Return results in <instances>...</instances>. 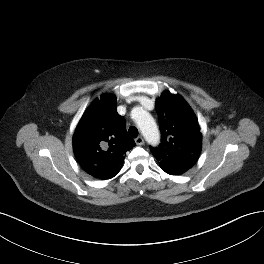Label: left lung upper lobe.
<instances>
[{"label": "left lung upper lobe", "instance_id": "left-lung-upper-lobe-1", "mask_svg": "<svg viewBox=\"0 0 264 264\" xmlns=\"http://www.w3.org/2000/svg\"><path fill=\"white\" fill-rule=\"evenodd\" d=\"M161 144L151 152L163 171L179 175L197 162L201 152V133L197 118L185 100L164 92L156 102Z\"/></svg>", "mask_w": 264, "mask_h": 264}]
</instances>
